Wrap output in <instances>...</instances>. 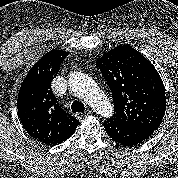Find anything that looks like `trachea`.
Masks as SVG:
<instances>
[{
	"label": "trachea",
	"mask_w": 178,
	"mask_h": 178,
	"mask_svg": "<svg viewBox=\"0 0 178 178\" xmlns=\"http://www.w3.org/2000/svg\"><path fill=\"white\" fill-rule=\"evenodd\" d=\"M71 109L73 113H83L85 110V106L80 101H74L71 105Z\"/></svg>",
	"instance_id": "3493384b"
}]
</instances>
